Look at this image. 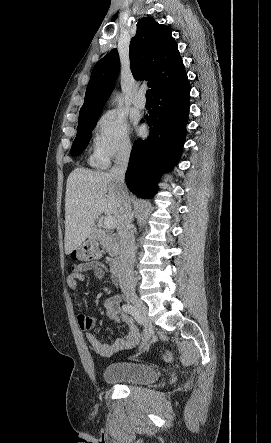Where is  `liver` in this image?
Instances as JSON below:
<instances>
[{"label": "liver", "instance_id": "1", "mask_svg": "<svg viewBox=\"0 0 271 443\" xmlns=\"http://www.w3.org/2000/svg\"><path fill=\"white\" fill-rule=\"evenodd\" d=\"M107 172L75 168L67 178L65 192V253L77 249L91 231L100 214L121 218V198Z\"/></svg>", "mask_w": 271, "mask_h": 443}]
</instances>
